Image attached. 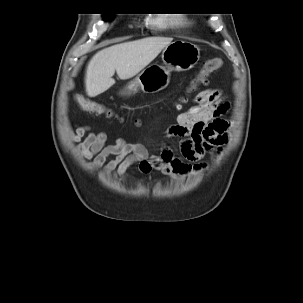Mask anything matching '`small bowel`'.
<instances>
[{"mask_svg": "<svg viewBox=\"0 0 303 303\" xmlns=\"http://www.w3.org/2000/svg\"><path fill=\"white\" fill-rule=\"evenodd\" d=\"M192 103L194 106L178 115L167 136L178 139L183 159L197 162L205 155L214 157L216 149L226 143L227 123L217 122L225 110L217 89L199 92L193 97ZM70 138L77 142L78 155L88 161L89 168L101 169L104 175L115 172L122 177L131 167L137 166L142 175L157 170L176 181L200 169L199 165H189L176 157L166 142H162L159 154H149L143 144L130 143L123 138H116L114 143L107 144L105 132H91L88 126L77 127L70 133ZM111 156L114 159L108 160Z\"/></svg>", "mask_w": 303, "mask_h": 303, "instance_id": "small-bowel-1", "label": "small bowel"}]
</instances>
